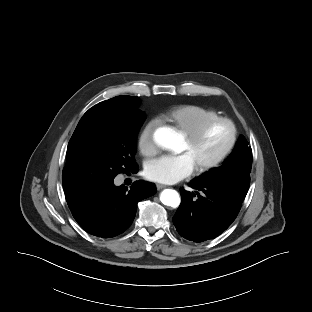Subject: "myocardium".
Segmentation results:
<instances>
[{
	"instance_id": "f54148a6",
	"label": "myocardium",
	"mask_w": 312,
	"mask_h": 312,
	"mask_svg": "<svg viewBox=\"0 0 312 312\" xmlns=\"http://www.w3.org/2000/svg\"><path fill=\"white\" fill-rule=\"evenodd\" d=\"M219 123H225L230 127V130H231L230 140H229L227 146L225 147V149L217 157H215L214 159H212L206 163H203V164L195 167V170L198 173L207 172V171L219 166L231 154V152L235 148L237 140H238L237 125L235 124V122L231 118L224 117V116H218V117H215V118L208 120L202 126H200L198 129H196L195 131L188 133V134H184V137H185L187 143L190 146H192L196 142H198L202 137H204L207 134V132L214 125L219 124Z\"/></svg>"
}]
</instances>
